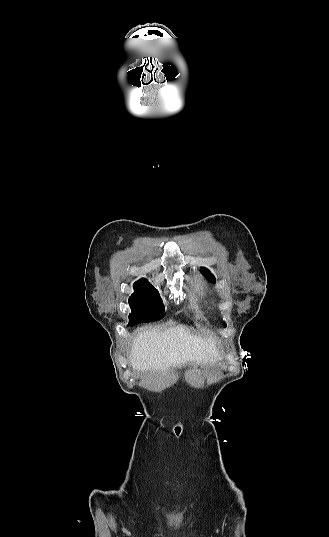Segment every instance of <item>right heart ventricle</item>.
Masks as SVG:
<instances>
[{
	"instance_id": "obj_1",
	"label": "right heart ventricle",
	"mask_w": 329,
	"mask_h": 537,
	"mask_svg": "<svg viewBox=\"0 0 329 537\" xmlns=\"http://www.w3.org/2000/svg\"><path fill=\"white\" fill-rule=\"evenodd\" d=\"M195 289L196 291L201 294V295H204L205 294V287H204V283L203 281H200L196 286H195Z\"/></svg>"
}]
</instances>
